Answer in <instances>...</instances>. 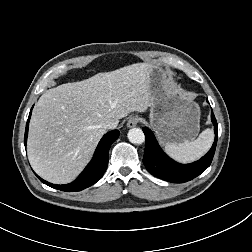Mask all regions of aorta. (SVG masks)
<instances>
[{
	"mask_svg": "<svg viewBox=\"0 0 252 252\" xmlns=\"http://www.w3.org/2000/svg\"><path fill=\"white\" fill-rule=\"evenodd\" d=\"M128 139L133 144H142L145 141V135L140 128H132L128 132Z\"/></svg>",
	"mask_w": 252,
	"mask_h": 252,
	"instance_id": "1",
	"label": "aorta"
}]
</instances>
